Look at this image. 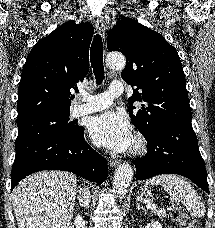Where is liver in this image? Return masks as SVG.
<instances>
[{"instance_id":"6515ba94","label":"liver","mask_w":215,"mask_h":228,"mask_svg":"<svg viewBox=\"0 0 215 228\" xmlns=\"http://www.w3.org/2000/svg\"><path fill=\"white\" fill-rule=\"evenodd\" d=\"M77 180L70 172H36L12 192L18 228H71Z\"/></svg>"}]
</instances>
